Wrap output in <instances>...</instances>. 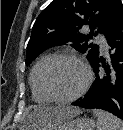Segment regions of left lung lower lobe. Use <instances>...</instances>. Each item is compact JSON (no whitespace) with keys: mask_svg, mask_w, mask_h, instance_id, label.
I'll return each mask as SVG.
<instances>
[{"mask_svg":"<svg viewBox=\"0 0 123 130\" xmlns=\"http://www.w3.org/2000/svg\"><path fill=\"white\" fill-rule=\"evenodd\" d=\"M106 40L112 51L110 62L105 63L99 56L91 62L96 74L93 86L84 98L72 105L103 109L123 119V14Z\"/></svg>","mask_w":123,"mask_h":130,"instance_id":"obj_1","label":"left lung lower lobe"}]
</instances>
